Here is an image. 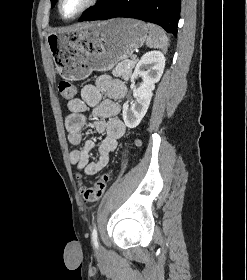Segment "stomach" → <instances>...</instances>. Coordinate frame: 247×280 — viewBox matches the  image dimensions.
Returning <instances> with one entry per match:
<instances>
[{"instance_id":"1","label":"stomach","mask_w":247,"mask_h":280,"mask_svg":"<svg viewBox=\"0 0 247 280\" xmlns=\"http://www.w3.org/2000/svg\"><path fill=\"white\" fill-rule=\"evenodd\" d=\"M147 34L144 22L117 18L50 33L47 45L61 77L77 81L93 71H109L131 57L144 44Z\"/></svg>"}]
</instances>
